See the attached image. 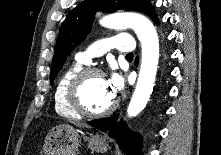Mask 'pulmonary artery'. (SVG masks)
Wrapping results in <instances>:
<instances>
[{"instance_id": "e3ab8cb5", "label": "pulmonary artery", "mask_w": 221, "mask_h": 155, "mask_svg": "<svg viewBox=\"0 0 221 155\" xmlns=\"http://www.w3.org/2000/svg\"><path fill=\"white\" fill-rule=\"evenodd\" d=\"M107 49H116L122 53H130L134 49L133 38L126 33L118 34L109 39L95 43L88 51L78 53L76 58L81 63H90L93 56L103 53Z\"/></svg>"}]
</instances>
